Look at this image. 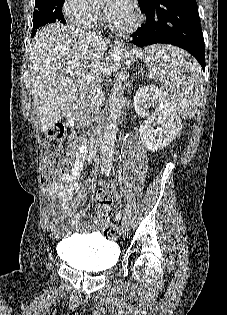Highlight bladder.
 <instances>
[{"label": "bladder", "mask_w": 227, "mask_h": 315, "mask_svg": "<svg viewBox=\"0 0 227 315\" xmlns=\"http://www.w3.org/2000/svg\"><path fill=\"white\" fill-rule=\"evenodd\" d=\"M59 253L73 268L99 271L113 268L119 260V247L98 235L67 238Z\"/></svg>", "instance_id": "1"}]
</instances>
